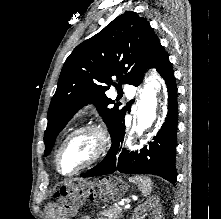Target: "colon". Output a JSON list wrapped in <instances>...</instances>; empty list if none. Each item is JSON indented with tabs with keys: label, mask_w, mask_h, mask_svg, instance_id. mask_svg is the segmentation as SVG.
Wrapping results in <instances>:
<instances>
[{
	"label": "colon",
	"mask_w": 221,
	"mask_h": 219,
	"mask_svg": "<svg viewBox=\"0 0 221 219\" xmlns=\"http://www.w3.org/2000/svg\"><path fill=\"white\" fill-rule=\"evenodd\" d=\"M77 204H72V200L71 199H65L63 201V209L67 212V213H71L74 208L76 207Z\"/></svg>",
	"instance_id": "1"
}]
</instances>
